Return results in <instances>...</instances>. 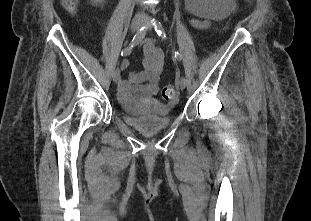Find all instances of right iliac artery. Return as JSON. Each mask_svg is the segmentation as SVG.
<instances>
[{"mask_svg":"<svg viewBox=\"0 0 311 221\" xmlns=\"http://www.w3.org/2000/svg\"><path fill=\"white\" fill-rule=\"evenodd\" d=\"M147 26L141 27L134 35L131 43L122 50L121 56H127L131 53L134 46L138 45L146 35Z\"/></svg>","mask_w":311,"mask_h":221,"instance_id":"right-iliac-artery-1","label":"right iliac artery"}]
</instances>
